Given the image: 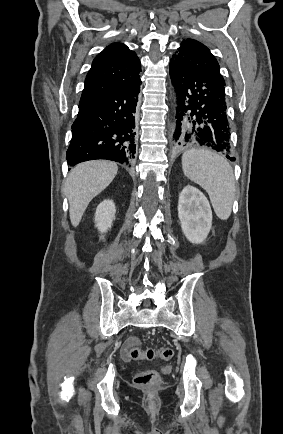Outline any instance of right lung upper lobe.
I'll return each instance as SVG.
<instances>
[{"label":"right lung upper lobe","instance_id":"obj_1","mask_svg":"<svg viewBox=\"0 0 283 434\" xmlns=\"http://www.w3.org/2000/svg\"><path fill=\"white\" fill-rule=\"evenodd\" d=\"M140 60L122 43H112L93 60L80 102L119 91L140 79Z\"/></svg>","mask_w":283,"mask_h":434}]
</instances>
